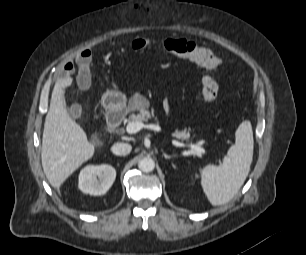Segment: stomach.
<instances>
[{
    "label": "stomach",
    "mask_w": 306,
    "mask_h": 255,
    "mask_svg": "<svg viewBox=\"0 0 306 255\" xmlns=\"http://www.w3.org/2000/svg\"><path fill=\"white\" fill-rule=\"evenodd\" d=\"M103 107L107 110H119L126 105V96L120 91L107 90L101 99ZM131 105V104H130Z\"/></svg>",
    "instance_id": "0dacf381"
}]
</instances>
